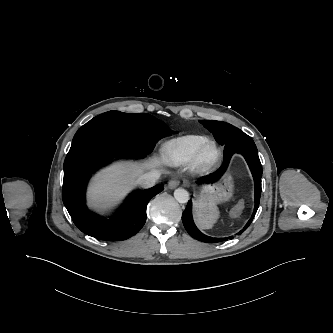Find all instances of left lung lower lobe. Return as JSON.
I'll use <instances>...</instances> for the list:
<instances>
[{
    "mask_svg": "<svg viewBox=\"0 0 333 333\" xmlns=\"http://www.w3.org/2000/svg\"><path fill=\"white\" fill-rule=\"evenodd\" d=\"M234 153H240L244 156L245 160L247 161L249 168L252 172L254 182H255V208L252 214V217L246 224V226L238 232V235L245 231L248 226L251 224L258 208L260 202V195H261V178H262V166L260 163V159L258 157V151L255 146L253 140L245 134L243 131H239L233 136H231L230 140L224 146V160L222 165L218 170L214 173L203 177L198 180L199 183H209L219 180L222 175L226 172L229 161L231 156ZM192 203L191 201L188 202L186 209L182 214V221L184 224L185 229L189 233V235L199 241L206 242V243H217L227 240L228 238H213L204 235L202 232L198 230L195 226L193 219H192V212H191Z\"/></svg>",
    "mask_w": 333,
    "mask_h": 333,
    "instance_id": "1",
    "label": "left lung lower lobe"
}]
</instances>
